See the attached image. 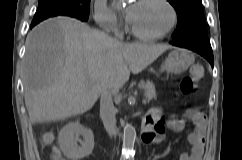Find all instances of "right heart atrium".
<instances>
[{
  "label": "right heart atrium",
  "instance_id": "obj_1",
  "mask_svg": "<svg viewBox=\"0 0 242 160\" xmlns=\"http://www.w3.org/2000/svg\"><path fill=\"white\" fill-rule=\"evenodd\" d=\"M94 18L101 28L108 31H114L120 26L119 17L108 6L106 0H96Z\"/></svg>",
  "mask_w": 242,
  "mask_h": 160
}]
</instances>
